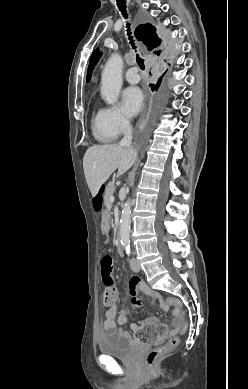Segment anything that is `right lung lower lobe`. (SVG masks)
Returning <instances> with one entry per match:
<instances>
[{
  "label": "right lung lower lobe",
  "mask_w": 248,
  "mask_h": 389,
  "mask_svg": "<svg viewBox=\"0 0 248 389\" xmlns=\"http://www.w3.org/2000/svg\"><path fill=\"white\" fill-rule=\"evenodd\" d=\"M159 84H160V81H159L155 86H154V85H151L152 90H154V89L157 90V87H158Z\"/></svg>",
  "instance_id": "right-lung-lower-lobe-1"
}]
</instances>
